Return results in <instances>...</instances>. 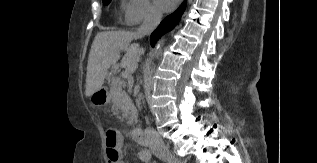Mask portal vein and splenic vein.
Instances as JSON below:
<instances>
[{"label": "portal vein and splenic vein", "mask_w": 317, "mask_h": 163, "mask_svg": "<svg viewBox=\"0 0 317 163\" xmlns=\"http://www.w3.org/2000/svg\"><path fill=\"white\" fill-rule=\"evenodd\" d=\"M112 84H121V81L119 78H113L112 79Z\"/></svg>", "instance_id": "portal-vein-and-splenic-vein-1"}]
</instances>
